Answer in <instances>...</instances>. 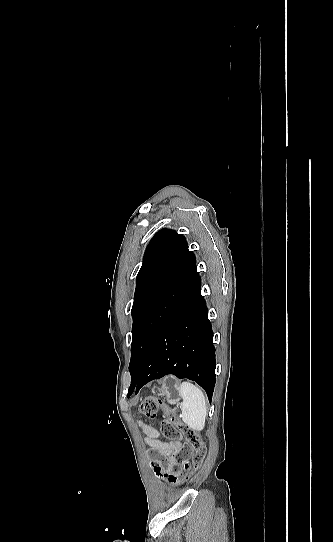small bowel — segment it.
I'll list each match as a JSON object with an SVG mask.
<instances>
[{
    "mask_svg": "<svg viewBox=\"0 0 333 542\" xmlns=\"http://www.w3.org/2000/svg\"><path fill=\"white\" fill-rule=\"evenodd\" d=\"M138 425L145 434V443L154 452L152 460L160 463L163 458L173 459L184 450L182 442L177 440H165L161 433L153 426L138 421Z\"/></svg>",
    "mask_w": 333,
    "mask_h": 542,
    "instance_id": "c3829d8e",
    "label": "small bowel"
}]
</instances>
